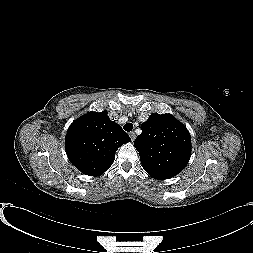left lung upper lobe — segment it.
Instances as JSON below:
<instances>
[{
  "instance_id": "5c2ea615",
  "label": "left lung upper lobe",
  "mask_w": 253,
  "mask_h": 253,
  "mask_svg": "<svg viewBox=\"0 0 253 253\" xmlns=\"http://www.w3.org/2000/svg\"><path fill=\"white\" fill-rule=\"evenodd\" d=\"M141 129L134 146L149 175L158 180L169 179L186 167L191 137L182 123L170 114H152Z\"/></svg>"
}]
</instances>
